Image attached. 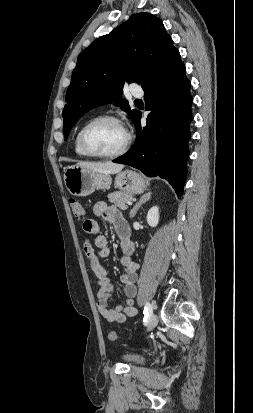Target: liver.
<instances>
[{"label":"liver","instance_id":"6515ba94","mask_svg":"<svg viewBox=\"0 0 253 413\" xmlns=\"http://www.w3.org/2000/svg\"><path fill=\"white\" fill-rule=\"evenodd\" d=\"M76 165L89 171L103 174H115L124 168L123 164L113 162H78Z\"/></svg>","mask_w":253,"mask_h":413}]
</instances>
